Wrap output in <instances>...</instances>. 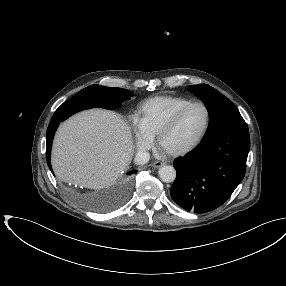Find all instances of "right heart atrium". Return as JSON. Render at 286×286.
Instances as JSON below:
<instances>
[{"mask_svg":"<svg viewBox=\"0 0 286 286\" xmlns=\"http://www.w3.org/2000/svg\"><path fill=\"white\" fill-rule=\"evenodd\" d=\"M132 127L136 139L137 146L140 149L147 150L153 143V136H151L142 126L140 120L134 119L132 121Z\"/></svg>","mask_w":286,"mask_h":286,"instance_id":"obj_1","label":"right heart atrium"}]
</instances>
